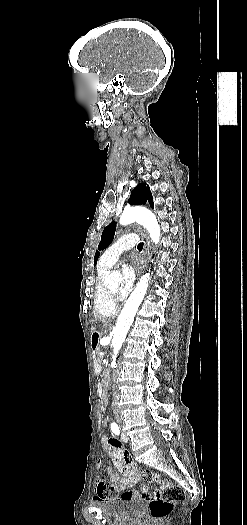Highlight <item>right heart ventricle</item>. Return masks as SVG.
Instances as JSON below:
<instances>
[{"label": "right heart ventricle", "mask_w": 247, "mask_h": 525, "mask_svg": "<svg viewBox=\"0 0 247 525\" xmlns=\"http://www.w3.org/2000/svg\"><path fill=\"white\" fill-rule=\"evenodd\" d=\"M110 269H112V265L106 264L102 255L97 265L96 291L93 308L95 317H115L119 310L117 304L107 305L106 303V275Z\"/></svg>", "instance_id": "e07e8e85"}]
</instances>
